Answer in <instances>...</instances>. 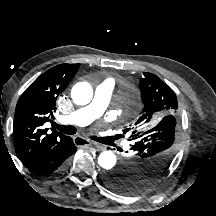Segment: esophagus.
<instances>
[{"mask_svg":"<svg viewBox=\"0 0 216 216\" xmlns=\"http://www.w3.org/2000/svg\"><path fill=\"white\" fill-rule=\"evenodd\" d=\"M73 141H74V143L77 144V145H93V146H95L97 149H100V150H103V149H104V147L101 146V145H99L98 143H95V142H93V141L84 139V138L79 137V136L74 137V138H73Z\"/></svg>","mask_w":216,"mask_h":216,"instance_id":"esophagus-1","label":"esophagus"}]
</instances>
